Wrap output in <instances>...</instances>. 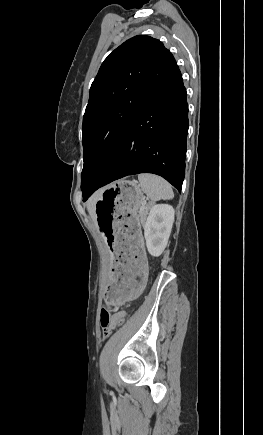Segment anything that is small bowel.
<instances>
[{"label":"small bowel","instance_id":"small-bowel-1","mask_svg":"<svg viewBox=\"0 0 263 435\" xmlns=\"http://www.w3.org/2000/svg\"><path fill=\"white\" fill-rule=\"evenodd\" d=\"M124 316H125L124 313H120V314L118 315V317H120V318H123ZM105 327H106L108 330H112V329L115 327V324H114L112 321H108V322L105 324Z\"/></svg>","mask_w":263,"mask_h":435}]
</instances>
